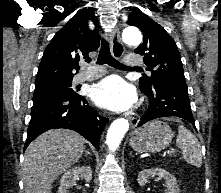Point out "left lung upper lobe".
<instances>
[{
  "instance_id": "left-lung-upper-lobe-1",
  "label": "left lung upper lobe",
  "mask_w": 221,
  "mask_h": 193,
  "mask_svg": "<svg viewBox=\"0 0 221 193\" xmlns=\"http://www.w3.org/2000/svg\"><path fill=\"white\" fill-rule=\"evenodd\" d=\"M128 24L143 32V44L135 53L144 56L151 75L139 80L141 90H150L158 80L185 81L181 57L177 45L166 30L149 16L134 10L128 16Z\"/></svg>"
}]
</instances>
